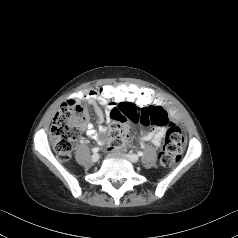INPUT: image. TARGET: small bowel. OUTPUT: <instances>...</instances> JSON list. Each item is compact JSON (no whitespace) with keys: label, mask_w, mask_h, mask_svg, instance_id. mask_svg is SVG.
I'll list each match as a JSON object with an SVG mask.
<instances>
[{"label":"small bowel","mask_w":238,"mask_h":238,"mask_svg":"<svg viewBox=\"0 0 238 238\" xmlns=\"http://www.w3.org/2000/svg\"><path fill=\"white\" fill-rule=\"evenodd\" d=\"M98 90H90L87 92H79L75 94L74 97L70 98L68 101L79 102L84 101L89 104L97 103L98 105L95 108V113L99 121L105 120L107 123L112 121L110 118V112L113 108L119 106L124 103H108L100 100L98 94ZM169 112L170 121H176L179 118V113L175 108H162ZM82 127L85 128L86 133L89 137L97 140L98 142H104V139L101 136V133L104 132V129L101 128L98 130L93 123L89 121L87 113L84 114L81 120ZM165 129L160 128L159 126L154 127L141 135V138L144 141L150 142L155 146H159L164 138Z\"/></svg>","instance_id":"1"}]
</instances>
